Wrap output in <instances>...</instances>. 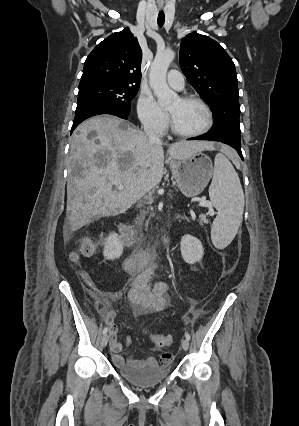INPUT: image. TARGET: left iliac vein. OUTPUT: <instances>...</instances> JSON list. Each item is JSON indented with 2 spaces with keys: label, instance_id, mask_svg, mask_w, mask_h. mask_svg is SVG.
<instances>
[{
  "label": "left iliac vein",
  "instance_id": "1",
  "mask_svg": "<svg viewBox=\"0 0 299 426\" xmlns=\"http://www.w3.org/2000/svg\"><path fill=\"white\" fill-rule=\"evenodd\" d=\"M182 348L186 351L189 348V340L183 339L182 340Z\"/></svg>",
  "mask_w": 299,
  "mask_h": 426
}]
</instances>
